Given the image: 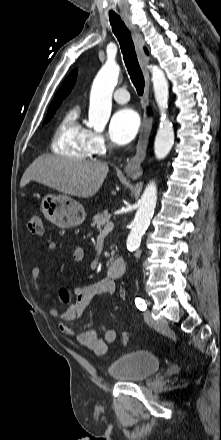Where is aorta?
Here are the masks:
<instances>
[{"label":"aorta","instance_id":"1","mask_svg":"<svg viewBox=\"0 0 221 440\" xmlns=\"http://www.w3.org/2000/svg\"><path fill=\"white\" fill-rule=\"evenodd\" d=\"M153 90L155 100L161 113L160 124L154 142V152L157 159L165 158L174 143V130L167 118L169 86L164 72L151 65ZM119 67L114 63L105 64L98 72L90 93L88 125L95 129H103L107 124L112 108V94L117 84ZM157 202V188L154 182L147 185L140 199L138 211L132 222V229L127 238V248L136 249L145 230L150 224Z\"/></svg>","mask_w":221,"mask_h":440}]
</instances>
